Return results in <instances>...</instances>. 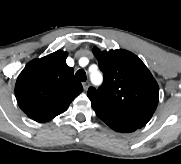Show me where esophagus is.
I'll return each mask as SVG.
<instances>
[{"label": "esophagus", "mask_w": 181, "mask_h": 164, "mask_svg": "<svg viewBox=\"0 0 181 164\" xmlns=\"http://www.w3.org/2000/svg\"><path fill=\"white\" fill-rule=\"evenodd\" d=\"M82 85H83L84 90L87 91L90 86V83L88 81H86V82H83Z\"/></svg>", "instance_id": "34e87169"}]
</instances>
